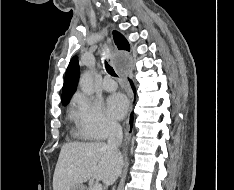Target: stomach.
Returning <instances> with one entry per match:
<instances>
[{
    "label": "stomach",
    "mask_w": 234,
    "mask_h": 190,
    "mask_svg": "<svg viewBox=\"0 0 234 190\" xmlns=\"http://www.w3.org/2000/svg\"><path fill=\"white\" fill-rule=\"evenodd\" d=\"M70 190H85V186L83 184H76Z\"/></svg>",
    "instance_id": "obj_1"
}]
</instances>
